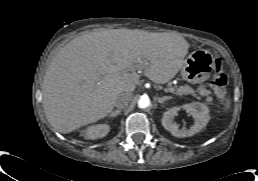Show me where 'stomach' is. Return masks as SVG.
Returning a JSON list of instances; mask_svg holds the SVG:
<instances>
[{"label": "stomach", "instance_id": "0dacf381", "mask_svg": "<svg viewBox=\"0 0 258 181\" xmlns=\"http://www.w3.org/2000/svg\"><path fill=\"white\" fill-rule=\"evenodd\" d=\"M214 56L207 50L193 51L185 60L180 69L183 80L196 84L206 81L214 68Z\"/></svg>", "mask_w": 258, "mask_h": 181}]
</instances>
